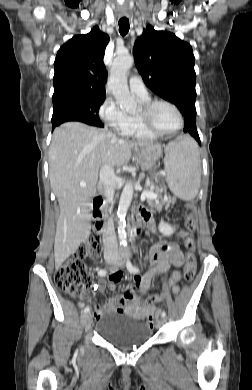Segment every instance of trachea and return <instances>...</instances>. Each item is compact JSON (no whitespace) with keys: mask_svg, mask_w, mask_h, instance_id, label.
<instances>
[{"mask_svg":"<svg viewBox=\"0 0 252 390\" xmlns=\"http://www.w3.org/2000/svg\"><path fill=\"white\" fill-rule=\"evenodd\" d=\"M119 32L122 36H125L129 31V20L127 18H122L119 20Z\"/></svg>","mask_w":252,"mask_h":390,"instance_id":"1","label":"trachea"}]
</instances>
